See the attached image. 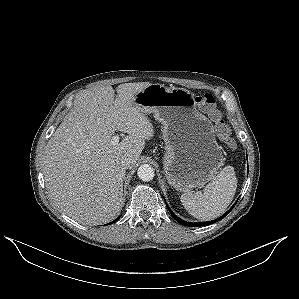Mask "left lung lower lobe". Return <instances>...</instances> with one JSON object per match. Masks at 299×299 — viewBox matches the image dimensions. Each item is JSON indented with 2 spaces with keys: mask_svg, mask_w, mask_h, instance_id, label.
<instances>
[{
  "mask_svg": "<svg viewBox=\"0 0 299 299\" xmlns=\"http://www.w3.org/2000/svg\"><path fill=\"white\" fill-rule=\"evenodd\" d=\"M166 203V202H165ZM236 204V203H235ZM235 204L225 213L223 214L221 217L213 220V221H207V222H198V223H190V222H186V221H183L181 219H179L172 211L171 209L168 207V205L166 204L168 210L170 211V214L172 215V217L177 221L179 222L180 224L182 225H185V226H190V227H200V226H205V225H210L212 223H215L217 221H219L220 219L224 218L232 209L233 207L235 206Z\"/></svg>",
  "mask_w": 299,
  "mask_h": 299,
  "instance_id": "0a47b994",
  "label": "left lung lower lobe"
}]
</instances>
